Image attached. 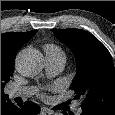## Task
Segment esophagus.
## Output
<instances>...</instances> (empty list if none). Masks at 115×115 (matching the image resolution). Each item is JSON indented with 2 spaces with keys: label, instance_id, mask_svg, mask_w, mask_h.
Here are the masks:
<instances>
[{
  "label": "esophagus",
  "instance_id": "obj_1",
  "mask_svg": "<svg viewBox=\"0 0 115 115\" xmlns=\"http://www.w3.org/2000/svg\"><path fill=\"white\" fill-rule=\"evenodd\" d=\"M41 112L45 113V114H53L54 113L53 110H51L50 108H47V107H42Z\"/></svg>",
  "mask_w": 115,
  "mask_h": 115
}]
</instances>
